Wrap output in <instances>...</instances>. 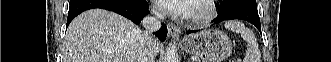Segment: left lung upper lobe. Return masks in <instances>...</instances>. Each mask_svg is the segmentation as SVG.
<instances>
[{
	"label": "left lung upper lobe",
	"instance_id": "obj_1",
	"mask_svg": "<svg viewBox=\"0 0 331 62\" xmlns=\"http://www.w3.org/2000/svg\"><path fill=\"white\" fill-rule=\"evenodd\" d=\"M236 5L247 6L252 9H257L256 0H219L218 7L222 11Z\"/></svg>",
	"mask_w": 331,
	"mask_h": 62
}]
</instances>
